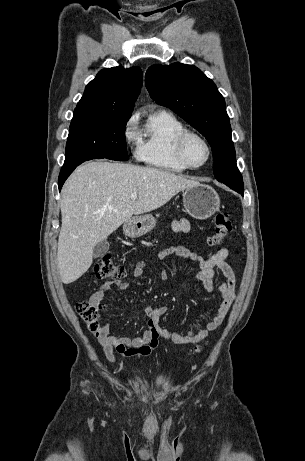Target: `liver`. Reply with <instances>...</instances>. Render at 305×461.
Here are the masks:
<instances>
[{
  "mask_svg": "<svg viewBox=\"0 0 305 461\" xmlns=\"http://www.w3.org/2000/svg\"><path fill=\"white\" fill-rule=\"evenodd\" d=\"M199 183L171 172L132 164L89 162L64 184L57 263L61 280L80 278L93 262V250L133 215L153 211L181 190ZM136 193L138 198L131 199Z\"/></svg>",
  "mask_w": 305,
  "mask_h": 461,
  "instance_id": "1",
  "label": "liver"
}]
</instances>
